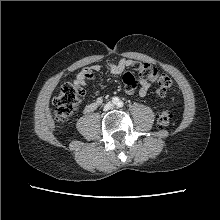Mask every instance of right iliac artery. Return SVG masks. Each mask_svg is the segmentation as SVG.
Listing matches in <instances>:
<instances>
[{
	"instance_id": "right-iliac-artery-1",
	"label": "right iliac artery",
	"mask_w": 220,
	"mask_h": 220,
	"mask_svg": "<svg viewBox=\"0 0 220 220\" xmlns=\"http://www.w3.org/2000/svg\"><path fill=\"white\" fill-rule=\"evenodd\" d=\"M112 102H113L114 104H118L119 99H118L117 97H114V98L112 99Z\"/></svg>"
}]
</instances>
